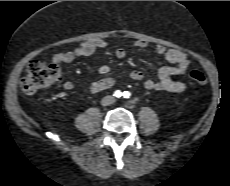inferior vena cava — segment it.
<instances>
[{
    "label": "inferior vena cava",
    "mask_w": 230,
    "mask_h": 186,
    "mask_svg": "<svg viewBox=\"0 0 230 186\" xmlns=\"http://www.w3.org/2000/svg\"><path fill=\"white\" fill-rule=\"evenodd\" d=\"M114 102H115L114 97L108 95V96H105V97L102 99L101 104H102L103 106H108V105L113 104Z\"/></svg>",
    "instance_id": "602c4592"
}]
</instances>
